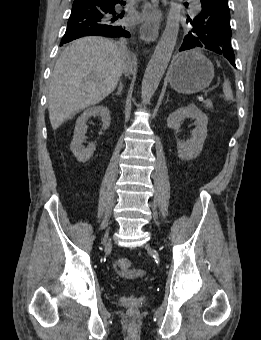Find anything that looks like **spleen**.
Masks as SVG:
<instances>
[{"label":"spleen","mask_w":261,"mask_h":340,"mask_svg":"<svg viewBox=\"0 0 261 340\" xmlns=\"http://www.w3.org/2000/svg\"><path fill=\"white\" fill-rule=\"evenodd\" d=\"M223 93L224 99L227 101L233 100V93L231 90V86L228 80H225L223 83Z\"/></svg>","instance_id":"obj_1"}]
</instances>
